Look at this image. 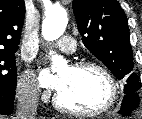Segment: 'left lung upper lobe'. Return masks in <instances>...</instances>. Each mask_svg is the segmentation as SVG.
Here are the masks:
<instances>
[{"label": "left lung upper lobe", "instance_id": "1", "mask_svg": "<svg viewBox=\"0 0 142 119\" xmlns=\"http://www.w3.org/2000/svg\"><path fill=\"white\" fill-rule=\"evenodd\" d=\"M73 11L86 48L126 82L124 92L141 88L133 72L127 17L117 0H73Z\"/></svg>", "mask_w": 142, "mask_h": 119}]
</instances>
